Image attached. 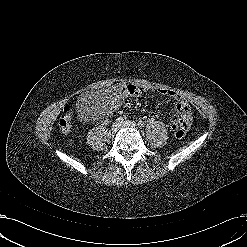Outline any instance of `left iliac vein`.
<instances>
[{
  "mask_svg": "<svg viewBox=\"0 0 247 247\" xmlns=\"http://www.w3.org/2000/svg\"><path fill=\"white\" fill-rule=\"evenodd\" d=\"M130 125L134 126V124H133L132 122H130V123H125V126H130Z\"/></svg>",
  "mask_w": 247,
  "mask_h": 247,
  "instance_id": "4c4485c4",
  "label": "left iliac vein"
}]
</instances>
